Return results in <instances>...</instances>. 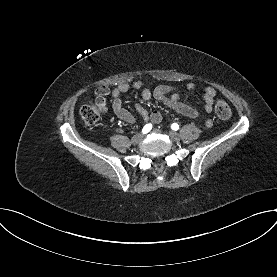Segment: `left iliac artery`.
Listing matches in <instances>:
<instances>
[{"label": "left iliac artery", "mask_w": 277, "mask_h": 277, "mask_svg": "<svg viewBox=\"0 0 277 277\" xmlns=\"http://www.w3.org/2000/svg\"><path fill=\"white\" fill-rule=\"evenodd\" d=\"M171 128H172L173 130H178V129H179V125L176 124V123H173V124L171 125Z\"/></svg>", "instance_id": "left-iliac-artery-1"}]
</instances>
